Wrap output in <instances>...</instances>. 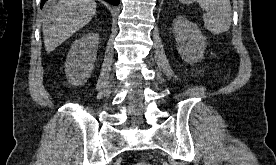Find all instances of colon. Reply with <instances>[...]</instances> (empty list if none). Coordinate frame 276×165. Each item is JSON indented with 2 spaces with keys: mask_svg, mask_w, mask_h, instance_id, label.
<instances>
[{
  "mask_svg": "<svg viewBox=\"0 0 276 165\" xmlns=\"http://www.w3.org/2000/svg\"><path fill=\"white\" fill-rule=\"evenodd\" d=\"M134 165H151V164L146 161H140V162L135 163Z\"/></svg>",
  "mask_w": 276,
  "mask_h": 165,
  "instance_id": "colon-1",
  "label": "colon"
}]
</instances>
